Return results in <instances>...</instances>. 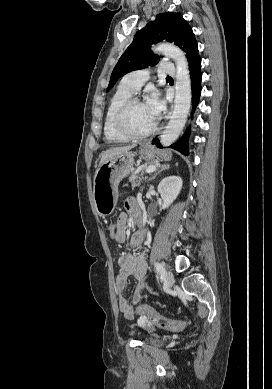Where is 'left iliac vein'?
Instances as JSON below:
<instances>
[{
	"instance_id": "obj_1",
	"label": "left iliac vein",
	"mask_w": 272,
	"mask_h": 389,
	"mask_svg": "<svg viewBox=\"0 0 272 389\" xmlns=\"http://www.w3.org/2000/svg\"><path fill=\"white\" fill-rule=\"evenodd\" d=\"M165 282H166V286L168 288H171L173 283H174V275L171 271H166L165 273Z\"/></svg>"
}]
</instances>
